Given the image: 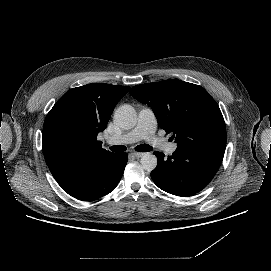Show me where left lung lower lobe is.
<instances>
[{"mask_svg":"<svg viewBox=\"0 0 271 271\" xmlns=\"http://www.w3.org/2000/svg\"><path fill=\"white\" fill-rule=\"evenodd\" d=\"M225 148L214 146H178L172 156L155 152L157 167L151 172L154 183L163 191L190 196L204 189L216 174Z\"/></svg>","mask_w":271,"mask_h":271,"instance_id":"0a47b994","label":"left lung lower lobe"}]
</instances>
